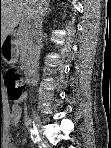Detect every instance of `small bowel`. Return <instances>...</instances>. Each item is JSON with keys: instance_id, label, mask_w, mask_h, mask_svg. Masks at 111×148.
I'll return each instance as SVG.
<instances>
[{"instance_id": "1", "label": "small bowel", "mask_w": 111, "mask_h": 148, "mask_svg": "<svg viewBox=\"0 0 111 148\" xmlns=\"http://www.w3.org/2000/svg\"><path fill=\"white\" fill-rule=\"evenodd\" d=\"M21 115V108L18 104L13 105L9 114V122L15 124ZM6 147H14L13 140L9 139Z\"/></svg>"}]
</instances>
